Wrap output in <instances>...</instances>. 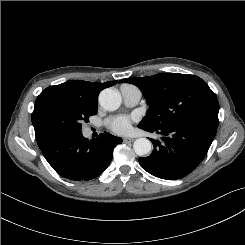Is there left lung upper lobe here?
I'll return each instance as SVG.
<instances>
[{"label":"left lung upper lobe","mask_w":245,"mask_h":245,"mask_svg":"<svg viewBox=\"0 0 245 245\" xmlns=\"http://www.w3.org/2000/svg\"><path fill=\"white\" fill-rule=\"evenodd\" d=\"M124 82L136 85L149 105L140 128L159 129L191 120L218 127L217 97L198 76L162 73L120 81Z\"/></svg>","instance_id":"left-lung-upper-lobe-1"}]
</instances>
